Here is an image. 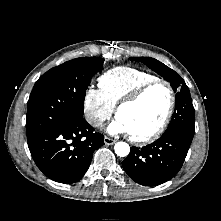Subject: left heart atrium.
I'll list each match as a JSON object with an SVG mask.
<instances>
[{"label": "left heart atrium", "mask_w": 221, "mask_h": 221, "mask_svg": "<svg viewBox=\"0 0 221 221\" xmlns=\"http://www.w3.org/2000/svg\"><path fill=\"white\" fill-rule=\"evenodd\" d=\"M107 131L110 134H120L128 132V129L125 124L119 118H117L108 126Z\"/></svg>", "instance_id": "left-heart-atrium-1"}]
</instances>
